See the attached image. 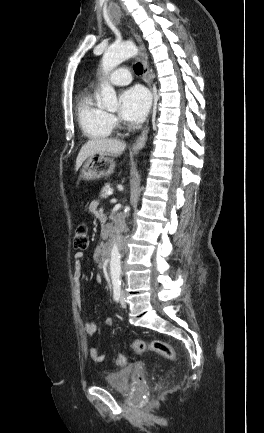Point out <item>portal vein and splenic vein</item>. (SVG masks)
<instances>
[{
    "label": "portal vein and splenic vein",
    "instance_id": "1",
    "mask_svg": "<svg viewBox=\"0 0 264 433\" xmlns=\"http://www.w3.org/2000/svg\"><path fill=\"white\" fill-rule=\"evenodd\" d=\"M107 194H108V195H112V194H113V190H109V191L107 192Z\"/></svg>",
    "mask_w": 264,
    "mask_h": 433
}]
</instances>
